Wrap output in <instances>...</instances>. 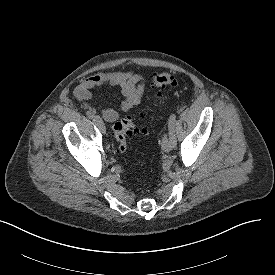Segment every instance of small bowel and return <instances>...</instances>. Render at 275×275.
<instances>
[{
	"instance_id": "obj_1",
	"label": "small bowel",
	"mask_w": 275,
	"mask_h": 275,
	"mask_svg": "<svg viewBox=\"0 0 275 275\" xmlns=\"http://www.w3.org/2000/svg\"><path fill=\"white\" fill-rule=\"evenodd\" d=\"M102 85L119 87L122 101L120 103L121 111H129L140 104L144 90V78L133 72L113 71L100 72L82 79L73 91V95L79 101H86L91 98L92 90ZM100 113L107 122H115L118 117V111L112 108H101L90 106L88 114L90 116Z\"/></svg>"
}]
</instances>
